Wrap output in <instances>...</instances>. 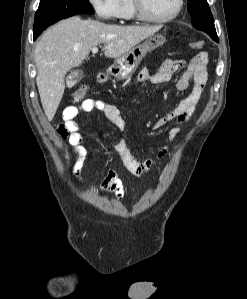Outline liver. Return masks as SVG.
<instances>
[{"mask_svg": "<svg viewBox=\"0 0 247 299\" xmlns=\"http://www.w3.org/2000/svg\"><path fill=\"white\" fill-rule=\"evenodd\" d=\"M161 27L110 25L78 16L50 27L34 51L36 83L48 121L53 119L63 97L66 73L80 66L93 47L105 43V56L118 58Z\"/></svg>", "mask_w": 247, "mask_h": 299, "instance_id": "1", "label": "liver"}]
</instances>
